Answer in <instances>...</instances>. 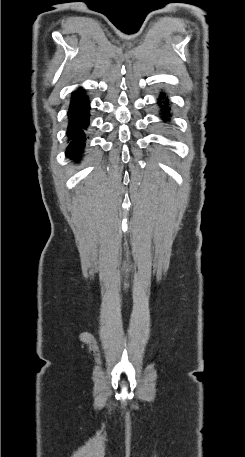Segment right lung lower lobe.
<instances>
[{
	"label": "right lung lower lobe",
	"mask_w": 245,
	"mask_h": 457,
	"mask_svg": "<svg viewBox=\"0 0 245 457\" xmlns=\"http://www.w3.org/2000/svg\"><path fill=\"white\" fill-rule=\"evenodd\" d=\"M67 115L69 120L67 128L69 145L66 156L79 161L85 148L86 136L84 130L89 125L90 116L89 98L84 93V90H77L72 94Z\"/></svg>",
	"instance_id": "obj_1"
}]
</instances>
